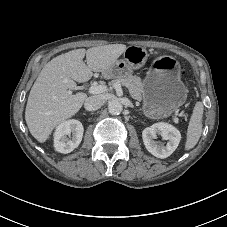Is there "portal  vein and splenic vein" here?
Here are the masks:
<instances>
[{"label": "portal vein and splenic vein", "mask_w": 227, "mask_h": 227, "mask_svg": "<svg viewBox=\"0 0 227 227\" xmlns=\"http://www.w3.org/2000/svg\"><path fill=\"white\" fill-rule=\"evenodd\" d=\"M107 90V87L105 85H92L90 88H89V93L91 94H100V93H103ZM173 121L175 124H178L179 123V119L178 117L174 116L173 117Z\"/></svg>", "instance_id": "obj_1"}]
</instances>
